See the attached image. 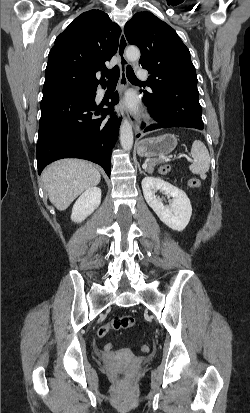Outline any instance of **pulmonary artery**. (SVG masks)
<instances>
[{"instance_id":"1","label":"pulmonary artery","mask_w":250,"mask_h":413,"mask_svg":"<svg viewBox=\"0 0 250 413\" xmlns=\"http://www.w3.org/2000/svg\"><path fill=\"white\" fill-rule=\"evenodd\" d=\"M137 76H138V78H139L140 80H146L147 77H148L147 72H146L145 70H143V69H139V70L137 71Z\"/></svg>"}]
</instances>
